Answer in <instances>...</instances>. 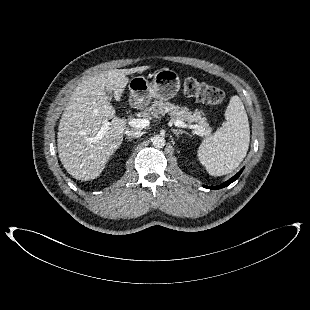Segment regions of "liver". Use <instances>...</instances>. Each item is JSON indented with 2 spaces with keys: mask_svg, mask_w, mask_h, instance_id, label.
<instances>
[{
  "mask_svg": "<svg viewBox=\"0 0 310 310\" xmlns=\"http://www.w3.org/2000/svg\"><path fill=\"white\" fill-rule=\"evenodd\" d=\"M146 69L142 66L104 71L82 81L74 89L60 119L57 135L60 161L73 178L82 181L97 178L120 147L126 124L115 116L106 90L120 100L129 82L126 76ZM104 126L108 127L106 133L96 139Z\"/></svg>",
  "mask_w": 310,
  "mask_h": 310,
  "instance_id": "6515ba94",
  "label": "liver"
}]
</instances>
